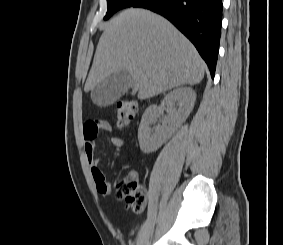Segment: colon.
<instances>
[{"label": "colon", "instance_id": "obj_1", "mask_svg": "<svg viewBox=\"0 0 283 245\" xmlns=\"http://www.w3.org/2000/svg\"><path fill=\"white\" fill-rule=\"evenodd\" d=\"M137 113V103L126 99L119 101L114 107V116L118 129L128 128ZM116 196L125 200L128 206L135 212L142 211L147 203V191L134 177L128 176L121 179L115 185Z\"/></svg>", "mask_w": 283, "mask_h": 245}]
</instances>
